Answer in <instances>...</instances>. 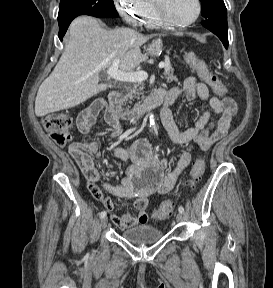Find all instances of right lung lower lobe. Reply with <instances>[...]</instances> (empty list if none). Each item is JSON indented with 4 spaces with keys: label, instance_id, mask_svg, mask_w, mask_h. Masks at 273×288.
Returning <instances> with one entry per match:
<instances>
[{
    "label": "right lung lower lobe",
    "instance_id": "obj_1",
    "mask_svg": "<svg viewBox=\"0 0 273 288\" xmlns=\"http://www.w3.org/2000/svg\"><path fill=\"white\" fill-rule=\"evenodd\" d=\"M75 17L69 18L67 20H65L62 23H59V39L62 41L63 36L65 35L68 26L70 25L71 21L74 19Z\"/></svg>",
    "mask_w": 273,
    "mask_h": 288
}]
</instances>
